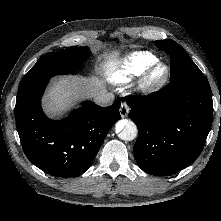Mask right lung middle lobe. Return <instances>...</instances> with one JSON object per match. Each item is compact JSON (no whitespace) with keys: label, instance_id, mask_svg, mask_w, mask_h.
<instances>
[{"label":"right lung middle lobe","instance_id":"1","mask_svg":"<svg viewBox=\"0 0 221 221\" xmlns=\"http://www.w3.org/2000/svg\"><path fill=\"white\" fill-rule=\"evenodd\" d=\"M89 54L88 47L47 53L24 76L19 87L50 79L55 75L75 74Z\"/></svg>","mask_w":221,"mask_h":221}]
</instances>
